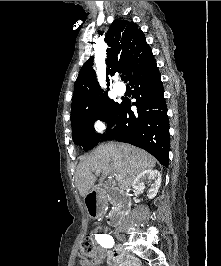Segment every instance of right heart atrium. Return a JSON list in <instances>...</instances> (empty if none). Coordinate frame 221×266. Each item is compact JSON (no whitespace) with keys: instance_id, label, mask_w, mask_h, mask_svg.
<instances>
[{"instance_id":"obj_1","label":"right heart atrium","mask_w":221,"mask_h":266,"mask_svg":"<svg viewBox=\"0 0 221 266\" xmlns=\"http://www.w3.org/2000/svg\"><path fill=\"white\" fill-rule=\"evenodd\" d=\"M93 130L97 133V134H103L106 130V122L103 119H96L93 122Z\"/></svg>"}]
</instances>
